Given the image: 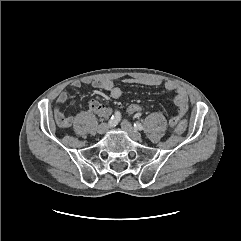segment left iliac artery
Here are the masks:
<instances>
[{
    "label": "left iliac artery",
    "mask_w": 241,
    "mask_h": 241,
    "mask_svg": "<svg viewBox=\"0 0 241 241\" xmlns=\"http://www.w3.org/2000/svg\"><path fill=\"white\" fill-rule=\"evenodd\" d=\"M134 127H135L136 129H138V130H143V126H142V124H140L139 122H135V123H134Z\"/></svg>",
    "instance_id": "obj_1"
}]
</instances>
